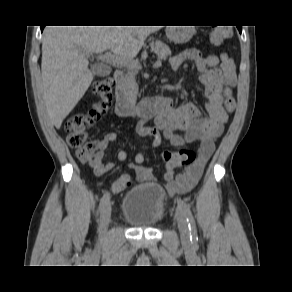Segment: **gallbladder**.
Returning a JSON list of instances; mask_svg holds the SVG:
<instances>
[{
  "label": "gallbladder",
  "mask_w": 292,
  "mask_h": 292,
  "mask_svg": "<svg viewBox=\"0 0 292 292\" xmlns=\"http://www.w3.org/2000/svg\"><path fill=\"white\" fill-rule=\"evenodd\" d=\"M93 69L95 73L100 76L107 75L109 72V70L105 66H102V65H95Z\"/></svg>",
  "instance_id": "obj_1"
}]
</instances>
